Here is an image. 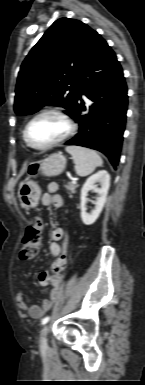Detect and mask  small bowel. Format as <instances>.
Masks as SVG:
<instances>
[{
  "instance_id": "obj_1",
  "label": "small bowel",
  "mask_w": 145,
  "mask_h": 385,
  "mask_svg": "<svg viewBox=\"0 0 145 385\" xmlns=\"http://www.w3.org/2000/svg\"><path fill=\"white\" fill-rule=\"evenodd\" d=\"M58 188V184L55 182H51L47 185V192L41 197L42 205L52 206L54 208H60L63 206V199L60 195L57 194ZM51 240L50 252L52 255L57 257L55 262L58 261L61 257H64L66 265L67 248L65 230L62 227L54 228L51 233ZM38 283L41 287L49 286V297L44 299L41 305L31 304L29 299L22 291L17 294V304L19 309L27 312L30 317L36 319L40 318L51 307L53 300L60 290L62 284V275L61 273L55 272L51 275L47 271H42L38 275Z\"/></svg>"
}]
</instances>
